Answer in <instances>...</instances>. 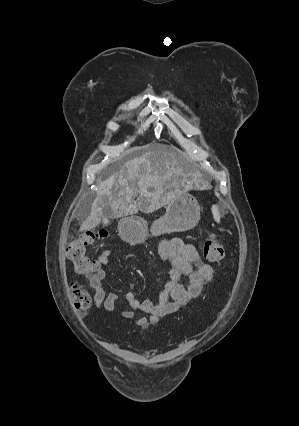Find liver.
Segmentation results:
<instances>
[{
  "mask_svg": "<svg viewBox=\"0 0 299 426\" xmlns=\"http://www.w3.org/2000/svg\"><path fill=\"white\" fill-rule=\"evenodd\" d=\"M186 169V161L178 151L167 145L150 146L99 183L91 212L80 230L98 226L105 207L112 209L113 218L135 214L138 210L154 212L175 196L173 192L166 194L165 189L172 187L174 178L184 175ZM135 196L137 200L133 199Z\"/></svg>",
  "mask_w": 299,
  "mask_h": 426,
  "instance_id": "1",
  "label": "liver"
}]
</instances>
